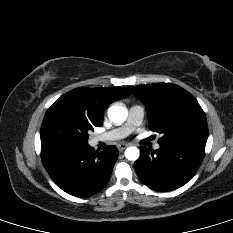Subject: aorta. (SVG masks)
<instances>
[{
  "instance_id": "obj_1",
  "label": "aorta",
  "mask_w": 233,
  "mask_h": 233,
  "mask_svg": "<svg viewBox=\"0 0 233 233\" xmlns=\"http://www.w3.org/2000/svg\"><path fill=\"white\" fill-rule=\"evenodd\" d=\"M128 116V111L125 107L121 105H113L108 109L109 119L116 123H123ZM140 151L137 147H128L125 150V157L130 161H136L139 158Z\"/></svg>"
}]
</instances>
